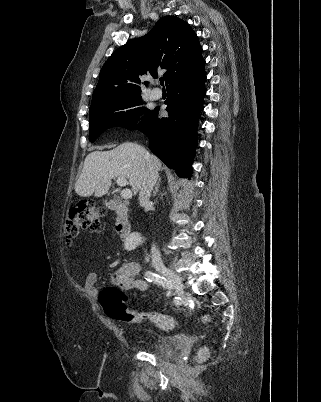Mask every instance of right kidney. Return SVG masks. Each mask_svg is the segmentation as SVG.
<instances>
[{
    "instance_id": "right-kidney-1",
    "label": "right kidney",
    "mask_w": 321,
    "mask_h": 402,
    "mask_svg": "<svg viewBox=\"0 0 321 402\" xmlns=\"http://www.w3.org/2000/svg\"><path fill=\"white\" fill-rule=\"evenodd\" d=\"M142 242V237L139 233L130 234L124 243V248L128 251L134 250Z\"/></svg>"
}]
</instances>
